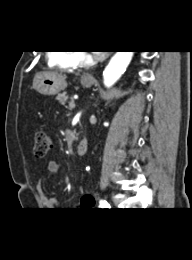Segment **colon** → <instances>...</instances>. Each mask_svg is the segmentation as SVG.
<instances>
[{
	"label": "colon",
	"mask_w": 192,
	"mask_h": 260,
	"mask_svg": "<svg viewBox=\"0 0 192 260\" xmlns=\"http://www.w3.org/2000/svg\"><path fill=\"white\" fill-rule=\"evenodd\" d=\"M51 142L47 134L42 130L34 132V153L37 157H43L49 151Z\"/></svg>",
	"instance_id": "colon-1"
}]
</instances>
